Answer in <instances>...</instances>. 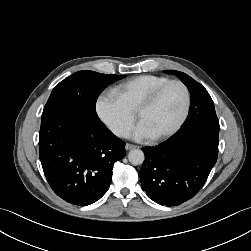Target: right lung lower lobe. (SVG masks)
Returning <instances> with one entry per match:
<instances>
[{
    "label": "right lung lower lobe",
    "mask_w": 251,
    "mask_h": 251,
    "mask_svg": "<svg viewBox=\"0 0 251 251\" xmlns=\"http://www.w3.org/2000/svg\"><path fill=\"white\" fill-rule=\"evenodd\" d=\"M124 147L97 114L71 107L42 114L39 157L45 177L73 205H90L107 192Z\"/></svg>",
    "instance_id": "right-lung-lower-lobe-1"
}]
</instances>
